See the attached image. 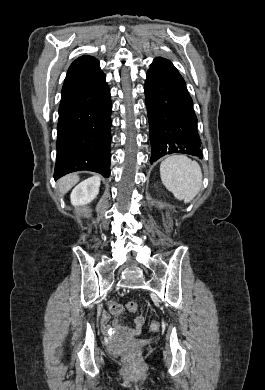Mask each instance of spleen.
Here are the masks:
<instances>
[{"mask_svg":"<svg viewBox=\"0 0 265 390\" xmlns=\"http://www.w3.org/2000/svg\"><path fill=\"white\" fill-rule=\"evenodd\" d=\"M160 176L164 186L178 200L190 202L202 186V171L196 161L183 155L166 158L160 165Z\"/></svg>","mask_w":265,"mask_h":390,"instance_id":"1","label":"spleen"}]
</instances>
